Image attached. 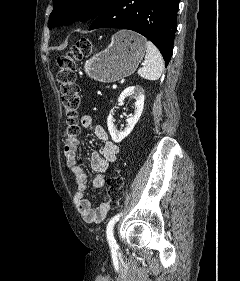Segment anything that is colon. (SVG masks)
<instances>
[{
  "instance_id": "obj_1",
  "label": "colon",
  "mask_w": 240,
  "mask_h": 281,
  "mask_svg": "<svg viewBox=\"0 0 240 281\" xmlns=\"http://www.w3.org/2000/svg\"><path fill=\"white\" fill-rule=\"evenodd\" d=\"M93 45L88 39L76 42L64 55L57 59V78L60 84L61 100L66 113L64 146L70 149L77 144L79 134L78 110L81 104L80 88L77 83L76 68L81 58L90 54ZM108 204L114 209L123 196V179L119 174L107 181Z\"/></svg>"
}]
</instances>
